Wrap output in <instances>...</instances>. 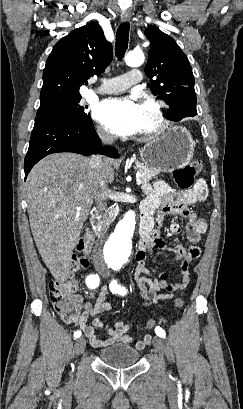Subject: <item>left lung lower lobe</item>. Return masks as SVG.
Returning a JSON list of instances; mask_svg holds the SVG:
<instances>
[{
    "mask_svg": "<svg viewBox=\"0 0 243 409\" xmlns=\"http://www.w3.org/2000/svg\"><path fill=\"white\" fill-rule=\"evenodd\" d=\"M196 114L197 113H194V112L180 113V114H177L173 119H170V120L179 121L180 119L184 117H192V116H195Z\"/></svg>",
    "mask_w": 243,
    "mask_h": 409,
    "instance_id": "1",
    "label": "left lung lower lobe"
}]
</instances>
